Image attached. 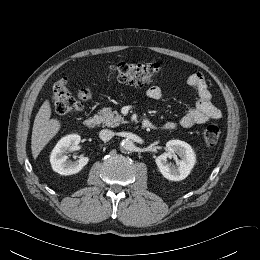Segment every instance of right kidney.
<instances>
[{
  "label": "right kidney",
  "mask_w": 260,
  "mask_h": 260,
  "mask_svg": "<svg viewBox=\"0 0 260 260\" xmlns=\"http://www.w3.org/2000/svg\"><path fill=\"white\" fill-rule=\"evenodd\" d=\"M81 137L78 134H70L58 141L51 152L50 163L52 169L60 175H72L78 173L88 163V157H80L77 161L68 160L66 155L75 149L80 143Z\"/></svg>",
  "instance_id": "right-kidney-1"
}]
</instances>
